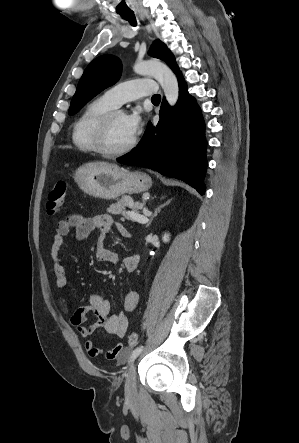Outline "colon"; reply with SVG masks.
Returning a JSON list of instances; mask_svg holds the SVG:
<instances>
[{"label":"colon","instance_id":"obj_1","mask_svg":"<svg viewBox=\"0 0 299 443\" xmlns=\"http://www.w3.org/2000/svg\"><path fill=\"white\" fill-rule=\"evenodd\" d=\"M67 192V183L63 180L58 181L48 194L46 209L50 216L57 214L63 206L65 196ZM139 342V336L137 333L132 332L128 336V344L130 347H134ZM124 357V356H123Z\"/></svg>","mask_w":299,"mask_h":443}]
</instances>
